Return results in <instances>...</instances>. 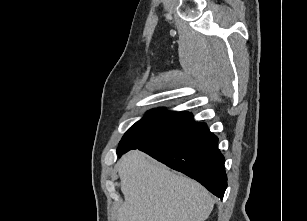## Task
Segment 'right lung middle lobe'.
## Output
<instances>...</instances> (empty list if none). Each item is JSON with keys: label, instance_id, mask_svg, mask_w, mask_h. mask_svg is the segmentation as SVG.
<instances>
[{"label": "right lung middle lobe", "instance_id": "right-lung-middle-lobe-1", "mask_svg": "<svg viewBox=\"0 0 307 221\" xmlns=\"http://www.w3.org/2000/svg\"><path fill=\"white\" fill-rule=\"evenodd\" d=\"M197 124L191 113L165 111V108L154 109L125 133L117 148V154L120 157L131 149L169 140Z\"/></svg>", "mask_w": 307, "mask_h": 221}]
</instances>
